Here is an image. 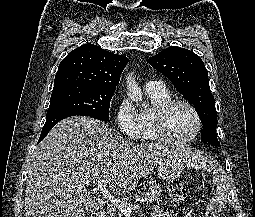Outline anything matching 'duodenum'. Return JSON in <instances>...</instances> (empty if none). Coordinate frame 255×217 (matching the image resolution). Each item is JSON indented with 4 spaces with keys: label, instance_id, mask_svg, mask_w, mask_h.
<instances>
[{
    "label": "duodenum",
    "instance_id": "duodenum-1",
    "mask_svg": "<svg viewBox=\"0 0 255 217\" xmlns=\"http://www.w3.org/2000/svg\"><path fill=\"white\" fill-rule=\"evenodd\" d=\"M90 217H104V213L101 210L95 211L94 213L91 214Z\"/></svg>",
    "mask_w": 255,
    "mask_h": 217
}]
</instances>
